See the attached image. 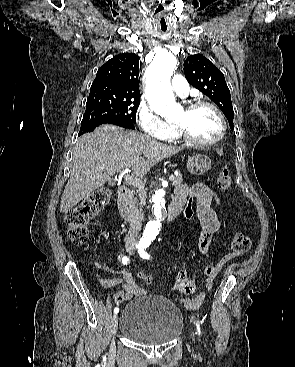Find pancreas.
I'll use <instances>...</instances> for the list:
<instances>
[{
    "instance_id": "obj_1",
    "label": "pancreas",
    "mask_w": 295,
    "mask_h": 367,
    "mask_svg": "<svg viewBox=\"0 0 295 367\" xmlns=\"http://www.w3.org/2000/svg\"><path fill=\"white\" fill-rule=\"evenodd\" d=\"M182 181H183L182 175L181 174L176 175V176H174V179L172 180V185L177 186V185L181 184ZM138 194H139V197L141 199V204L144 205L145 204L146 192L143 190V188H139Z\"/></svg>"
}]
</instances>
